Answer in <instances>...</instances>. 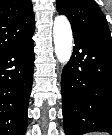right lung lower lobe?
I'll list each match as a JSON object with an SVG mask.
<instances>
[{"mask_svg": "<svg viewBox=\"0 0 112 135\" xmlns=\"http://www.w3.org/2000/svg\"><path fill=\"white\" fill-rule=\"evenodd\" d=\"M33 34L0 54V135H24L33 82Z\"/></svg>", "mask_w": 112, "mask_h": 135, "instance_id": "1", "label": "right lung lower lobe"}]
</instances>
